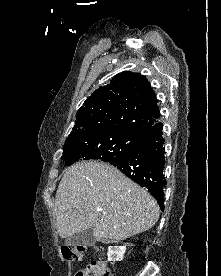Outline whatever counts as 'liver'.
<instances>
[{
    "label": "liver",
    "instance_id": "liver-1",
    "mask_svg": "<svg viewBox=\"0 0 221 276\" xmlns=\"http://www.w3.org/2000/svg\"><path fill=\"white\" fill-rule=\"evenodd\" d=\"M54 211L61 238L92 228L95 240L105 244L147 231L159 218L157 201L146 189L96 161L66 169Z\"/></svg>",
    "mask_w": 221,
    "mask_h": 276
}]
</instances>
